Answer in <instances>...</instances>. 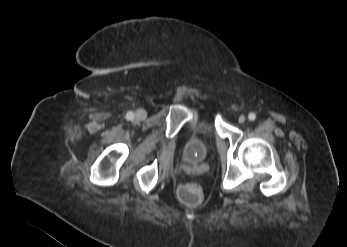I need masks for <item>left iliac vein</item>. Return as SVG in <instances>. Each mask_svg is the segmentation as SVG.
Listing matches in <instances>:
<instances>
[{
	"mask_svg": "<svg viewBox=\"0 0 347 247\" xmlns=\"http://www.w3.org/2000/svg\"><path fill=\"white\" fill-rule=\"evenodd\" d=\"M239 123H244L245 122V116H243V115H241L240 117H239Z\"/></svg>",
	"mask_w": 347,
	"mask_h": 247,
	"instance_id": "left-iliac-vein-1",
	"label": "left iliac vein"
}]
</instances>
